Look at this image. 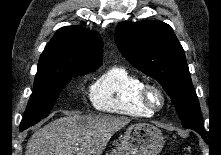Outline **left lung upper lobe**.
I'll list each match as a JSON object with an SVG mask.
<instances>
[{
  "label": "left lung upper lobe",
  "instance_id": "left-lung-upper-lobe-1",
  "mask_svg": "<svg viewBox=\"0 0 221 155\" xmlns=\"http://www.w3.org/2000/svg\"><path fill=\"white\" fill-rule=\"evenodd\" d=\"M115 42L133 66L161 84L171 97L183 127L202 129L199 101L184 50L173 29L158 20L125 21L116 28Z\"/></svg>",
  "mask_w": 221,
  "mask_h": 155
}]
</instances>
